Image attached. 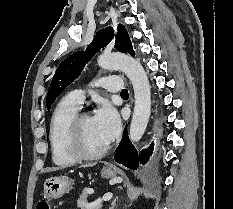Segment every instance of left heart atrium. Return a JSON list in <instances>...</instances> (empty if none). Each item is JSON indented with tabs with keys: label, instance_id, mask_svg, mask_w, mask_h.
Wrapping results in <instances>:
<instances>
[{
	"label": "left heart atrium",
	"instance_id": "obj_1",
	"mask_svg": "<svg viewBox=\"0 0 233 209\" xmlns=\"http://www.w3.org/2000/svg\"><path fill=\"white\" fill-rule=\"evenodd\" d=\"M93 119L100 135L107 143L114 140L119 134L120 120L118 114L108 103L100 105Z\"/></svg>",
	"mask_w": 233,
	"mask_h": 209
}]
</instances>
